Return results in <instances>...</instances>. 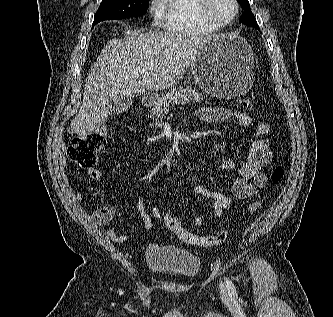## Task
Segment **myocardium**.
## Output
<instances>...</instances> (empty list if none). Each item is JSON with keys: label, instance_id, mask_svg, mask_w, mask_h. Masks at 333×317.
<instances>
[{"label": "myocardium", "instance_id": "myocardium-1", "mask_svg": "<svg viewBox=\"0 0 333 317\" xmlns=\"http://www.w3.org/2000/svg\"><path fill=\"white\" fill-rule=\"evenodd\" d=\"M234 5L233 15L224 21L214 18L210 12L211 0H197V13L199 18L207 25L221 29L231 25L238 17L240 12V4L238 0H231Z\"/></svg>", "mask_w": 333, "mask_h": 317}]
</instances>
